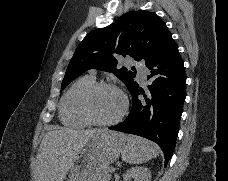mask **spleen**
<instances>
[{
    "label": "spleen",
    "instance_id": "1",
    "mask_svg": "<svg viewBox=\"0 0 228 181\" xmlns=\"http://www.w3.org/2000/svg\"><path fill=\"white\" fill-rule=\"evenodd\" d=\"M159 153L160 147L158 145L147 141V139L135 137V135L127 137V143L121 151L123 161L130 163V165H143L150 159H156Z\"/></svg>",
    "mask_w": 228,
    "mask_h": 181
}]
</instances>
